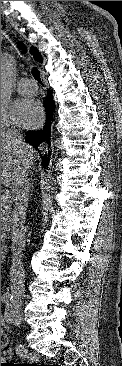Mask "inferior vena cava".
<instances>
[{"label":"inferior vena cava","instance_id":"inferior-vena-cava-1","mask_svg":"<svg viewBox=\"0 0 122 366\" xmlns=\"http://www.w3.org/2000/svg\"><path fill=\"white\" fill-rule=\"evenodd\" d=\"M6 136L9 139V143L16 145L21 151L26 155V159L24 162V172L22 177L13 187V194L15 195V206L12 211L11 218L9 219V227L11 229V238H12V265L10 269V279L12 282L11 292L15 297H19L23 292V268H22V251L25 247V219H26V211L28 207V200L31 188L33 185L30 182L29 178V165L31 161V153L28 152L29 145H27L22 136L16 130H8L6 132Z\"/></svg>","mask_w":122,"mask_h":366}]
</instances>
